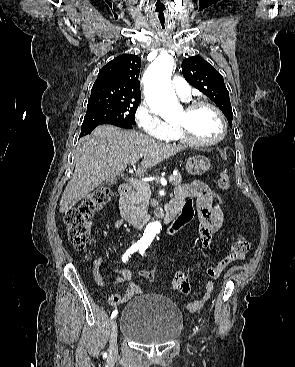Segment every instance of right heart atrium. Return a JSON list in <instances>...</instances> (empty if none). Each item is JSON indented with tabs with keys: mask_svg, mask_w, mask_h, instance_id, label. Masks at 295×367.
<instances>
[{
	"mask_svg": "<svg viewBox=\"0 0 295 367\" xmlns=\"http://www.w3.org/2000/svg\"><path fill=\"white\" fill-rule=\"evenodd\" d=\"M135 118L142 131L157 139H167L174 127L165 122L151 106L144 102L138 106Z\"/></svg>",
	"mask_w": 295,
	"mask_h": 367,
	"instance_id": "obj_1",
	"label": "right heart atrium"
}]
</instances>
